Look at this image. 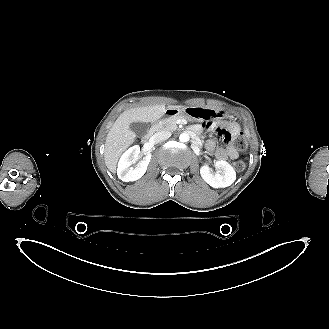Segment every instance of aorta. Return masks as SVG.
<instances>
[{
  "instance_id": "aorta-1",
  "label": "aorta",
  "mask_w": 329,
  "mask_h": 329,
  "mask_svg": "<svg viewBox=\"0 0 329 329\" xmlns=\"http://www.w3.org/2000/svg\"><path fill=\"white\" fill-rule=\"evenodd\" d=\"M189 139H190V136H189L187 133H182V134H180V136H179V140H180L181 142H188Z\"/></svg>"
}]
</instances>
